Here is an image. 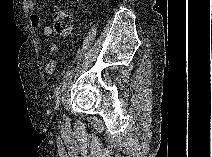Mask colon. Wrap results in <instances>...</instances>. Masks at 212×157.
I'll use <instances>...</instances> for the list:
<instances>
[{
	"label": "colon",
	"mask_w": 212,
	"mask_h": 157,
	"mask_svg": "<svg viewBox=\"0 0 212 157\" xmlns=\"http://www.w3.org/2000/svg\"><path fill=\"white\" fill-rule=\"evenodd\" d=\"M53 27L56 34L61 37L70 35L73 27L71 13L65 8H56L53 14Z\"/></svg>",
	"instance_id": "obj_1"
}]
</instances>
